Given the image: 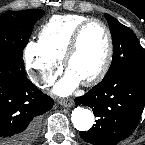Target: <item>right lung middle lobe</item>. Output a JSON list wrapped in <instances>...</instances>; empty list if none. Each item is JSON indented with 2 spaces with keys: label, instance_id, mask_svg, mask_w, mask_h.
Returning <instances> with one entry per match:
<instances>
[{
  "label": "right lung middle lobe",
  "instance_id": "dd1d6c3e",
  "mask_svg": "<svg viewBox=\"0 0 145 145\" xmlns=\"http://www.w3.org/2000/svg\"><path fill=\"white\" fill-rule=\"evenodd\" d=\"M41 9L7 11L0 15V57L22 56Z\"/></svg>",
  "mask_w": 145,
  "mask_h": 145
}]
</instances>
